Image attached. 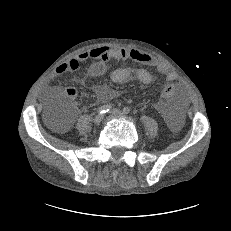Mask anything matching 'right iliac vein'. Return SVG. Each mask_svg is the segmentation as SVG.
<instances>
[{"instance_id":"obj_1","label":"right iliac vein","mask_w":231,"mask_h":231,"mask_svg":"<svg viewBox=\"0 0 231 231\" xmlns=\"http://www.w3.org/2000/svg\"><path fill=\"white\" fill-rule=\"evenodd\" d=\"M103 117H104V116H103L102 114L96 115V116L94 117V119H93L94 123H95V124L101 123L102 120H103Z\"/></svg>"}]
</instances>
